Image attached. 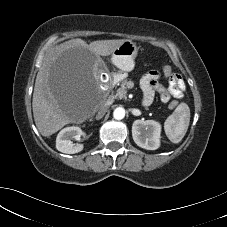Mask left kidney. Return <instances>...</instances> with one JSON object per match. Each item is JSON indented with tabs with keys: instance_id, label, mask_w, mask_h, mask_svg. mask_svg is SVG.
Listing matches in <instances>:
<instances>
[{
	"instance_id": "1",
	"label": "left kidney",
	"mask_w": 227,
	"mask_h": 227,
	"mask_svg": "<svg viewBox=\"0 0 227 227\" xmlns=\"http://www.w3.org/2000/svg\"><path fill=\"white\" fill-rule=\"evenodd\" d=\"M161 124L154 120H135L132 125L134 142L141 148L156 150L160 146Z\"/></svg>"
}]
</instances>
